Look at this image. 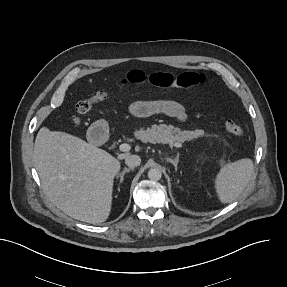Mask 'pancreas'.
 <instances>
[{
	"instance_id": "1",
	"label": "pancreas",
	"mask_w": 287,
	"mask_h": 287,
	"mask_svg": "<svg viewBox=\"0 0 287 287\" xmlns=\"http://www.w3.org/2000/svg\"><path fill=\"white\" fill-rule=\"evenodd\" d=\"M135 136L140 139L142 142H151V143H169L172 142H185L193 141L200 137L208 138L209 135L204 133L202 130H181L178 127L173 125L159 124L152 125L146 130L140 129L135 133Z\"/></svg>"
}]
</instances>
